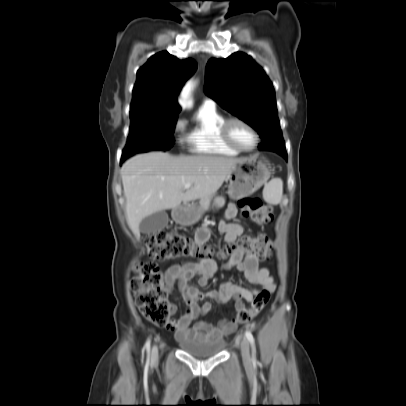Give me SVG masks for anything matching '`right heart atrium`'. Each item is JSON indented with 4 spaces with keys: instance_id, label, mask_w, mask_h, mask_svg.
Wrapping results in <instances>:
<instances>
[{
    "instance_id": "obj_1",
    "label": "right heart atrium",
    "mask_w": 406,
    "mask_h": 406,
    "mask_svg": "<svg viewBox=\"0 0 406 406\" xmlns=\"http://www.w3.org/2000/svg\"><path fill=\"white\" fill-rule=\"evenodd\" d=\"M186 121L182 118H178L175 122L174 129L176 132H181L185 129Z\"/></svg>"
}]
</instances>
